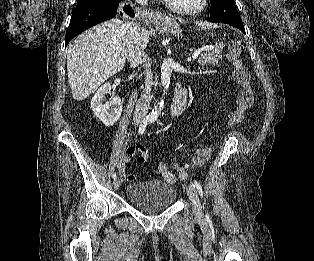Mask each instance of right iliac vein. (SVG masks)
<instances>
[{"label": "right iliac vein", "mask_w": 314, "mask_h": 261, "mask_svg": "<svg viewBox=\"0 0 314 261\" xmlns=\"http://www.w3.org/2000/svg\"><path fill=\"white\" fill-rule=\"evenodd\" d=\"M120 185H121V183H120V180H119V179H115V180L113 181V187H114V189L118 190V189L120 188Z\"/></svg>", "instance_id": "obj_1"}]
</instances>
